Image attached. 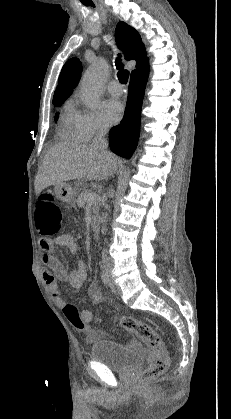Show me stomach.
<instances>
[{
    "instance_id": "1",
    "label": "stomach",
    "mask_w": 231,
    "mask_h": 419,
    "mask_svg": "<svg viewBox=\"0 0 231 419\" xmlns=\"http://www.w3.org/2000/svg\"><path fill=\"white\" fill-rule=\"evenodd\" d=\"M78 193V189L72 187L67 183H60L55 185V194L63 202L72 204L75 201V197Z\"/></svg>"
}]
</instances>
